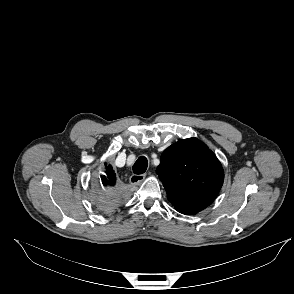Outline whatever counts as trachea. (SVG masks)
Masks as SVG:
<instances>
[{"label": "trachea", "mask_w": 294, "mask_h": 294, "mask_svg": "<svg viewBox=\"0 0 294 294\" xmlns=\"http://www.w3.org/2000/svg\"><path fill=\"white\" fill-rule=\"evenodd\" d=\"M147 167H148L147 158L144 156H141L133 165V172L135 174H143L147 170Z\"/></svg>", "instance_id": "3493384b"}]
</instances>
